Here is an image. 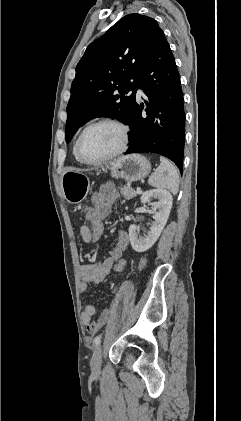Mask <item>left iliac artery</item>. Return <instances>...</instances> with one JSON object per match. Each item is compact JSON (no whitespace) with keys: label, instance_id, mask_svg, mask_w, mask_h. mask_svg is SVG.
Instances as JSON below:
<instances>
[{"label":"left iliac artery","instance_id":"1","mask_svg":"<svg viewBox=\"0 0 241 421\" xmlns=\"http://www.w3.org/2000/svg\"><path fill=\"white\" fill-rule=\"evenodd\" d=\"M100 343H101V336H96L94 338V344H95V346L100 345Z\"/></svg>","mask_w":241,"mask_h":421}]
</instances>
